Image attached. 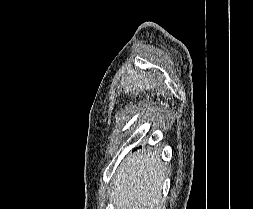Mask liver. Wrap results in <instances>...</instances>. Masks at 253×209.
<instances>
[{"label": "liver", "mask_w": 253, "mask_h": 209, "mask_svg": "<svg viewBox=\"0 0 253 209\" xmlns=\"http://www.w3.org/2000/svg\"><path fill=\"white\" fill-rule=\"evenodd\" d=\"M165 167L157 152L142 150L117 169L110 194L115 209H161Z\"/></svg>", "instance_id": "6515ba94"}]
</instances>
